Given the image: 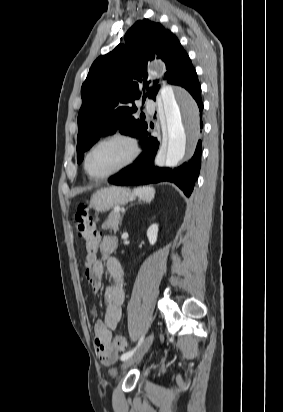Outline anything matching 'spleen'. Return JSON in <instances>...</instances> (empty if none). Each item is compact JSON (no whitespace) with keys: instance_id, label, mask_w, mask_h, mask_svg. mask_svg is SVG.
<instances>
[{"instance_id":"obj_1","label":"spleen","mask_w":283,"mask_h":412,"mask_svg":"<svg viewBox=\"0 0 283 412\" xmlns=\"http://www.w3.org/2000/svg\"><path fill=\"white\" fill-rule=\"evenodd\" d=\"M134 194L142 200L151 201L155 196V189L150 186L138 187L134 189Z\"/></svg>"}]
</instances>
